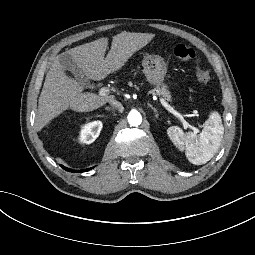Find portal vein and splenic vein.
Instances as JSON below:
<instances>
[{"label":"portal vein and splenic vein","instance_id":"18ae733b","mask_svg":"<svg viewBox=\"0 0 255 255\" xmlns=\"http://www.w3.org/2000/svg\"><path fill=\"white\" fill-rule=\"evenodd\" d=\"M109 93V89L106 87H103L99 91L100 96H106ZM161 104L168 110L170 113H172L175 117L179 118L180 121L182 122L184 129H187L190 127V124L184 119V117L177 112L176 110L173 109L172 106H170L163 98H160Z\"/></svg>","mask_w":255,"mask_h":255}]
</instances>
